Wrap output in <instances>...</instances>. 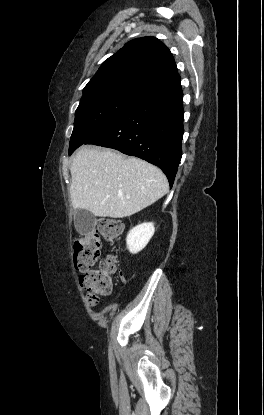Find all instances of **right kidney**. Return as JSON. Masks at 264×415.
<instances>
[{
  "mask_svg": "<svg viewBox=\"0 0 264 415\" xmlns=\"http://www.w3.org/2000/svg\"><path fill=\"white\" fill-rule=\"evenodd\" d=\"M155 232L152 222L142 223L132 228L126 238L127 248L132 254L141 251L149 242Z\"/></svg>",
  "mask_w": 264,
  "mask_h": 415,
  "instance_id": "right-kidney-1",
  "label": "right kidney"
}]
</instances>
